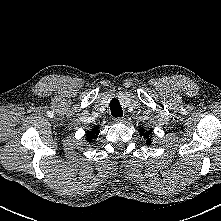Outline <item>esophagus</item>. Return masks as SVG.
<instances>
[{
    "label": "esophagus",
    "mask_w": 221,
    "mask_h": 221,
    "mask_svg": "<svg viewBox=\"0 0 221 221\" xmlns=\"http://www.w3.org/2000/svg\"><path fill=\"white\" fill-rule=\"evenodd\" d=\"M114 121H115V122H123V121H124V117L114 118Z\"/></svg>",
    "instance_id": "34e87169"
}]
</instances>
